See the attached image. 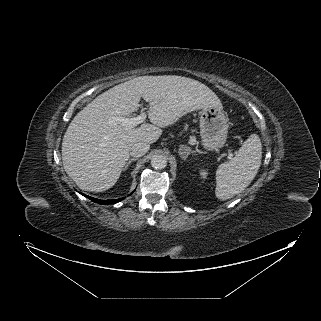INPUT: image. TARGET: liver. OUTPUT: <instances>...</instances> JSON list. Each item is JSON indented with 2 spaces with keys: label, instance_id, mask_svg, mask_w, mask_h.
I'll return each mask as SVG.
<instances>
[{
  "label": "liver",
  "instance_id": "liver-1",
  "mask_svg": "<svg viewBox=\"0 0 321 321\" xmlns=\"http://www.w3.org/2000/svg\"><path fill=\"white\" fill-rule=\"evenodd\" d=\"M141 98L150 102L152 124L128 128L112 121L137 112ZM208 107L222 105L211 89L191 78L141 76L119 84L96 97L71 121L62 142L64 169L82 190H108L119 179L132 144L154 143L161 128Z\"/></svg>",
  "mask_w": 321,
  "mask_h": 321
}]
</instances>
